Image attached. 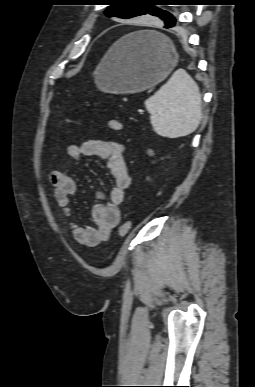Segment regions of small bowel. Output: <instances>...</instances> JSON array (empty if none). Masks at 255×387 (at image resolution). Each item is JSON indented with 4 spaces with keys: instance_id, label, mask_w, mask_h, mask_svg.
<instances>
[{
    "instance_id": "1",
    "label": "small bowel",
    "mask_w": 255,
    "mask_h": 387,
    "mask_svg": "<svg viewBox=\"0 0 255 387\" xmlns=\"http://www.w3.org/2000/svg\"><path fill=\"white\" fill-rule=\"evenodd\" d=\"M66 153L73 159L97 156L107 161V167L114 179L109 202L96 203L91 211L94 226L83 227L75 221L70 197L77 192V183L70 175L54 170L49 175L53 187L54 199L61 210V218L73 235V238L85 247H94L107 241L114 228L121 221L120 205L130 187L131 178L124 159V146L110 140H88L80 145H68ZM98 200L103 199L101 192L95 194Z\"/></svg>"
}]
</instances>
